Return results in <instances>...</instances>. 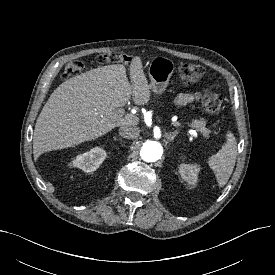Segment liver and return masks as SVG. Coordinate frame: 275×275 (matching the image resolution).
Here are the masks:
<instances>
[{
  "mask_svg": "<svg viewBox=\"0 0 275 275\" xmlns=\"http://www.w3.org/2000/svg\"><path fill=\"white\" fill-rule=\"evenodd\" d=\"M131 85L122 64L92 69L72 77L57 87L37 118L33 154L73 147L101 137L115 127L137 125L139 118L117 110L131 96L136 105L150 100V85L141 58L130 64Z\"/></svg>",
  "mask_w": 275,
  "mask_h": 275,
  "instance_id": "obj_1",
  "label": "liver"
}]
</instances>
